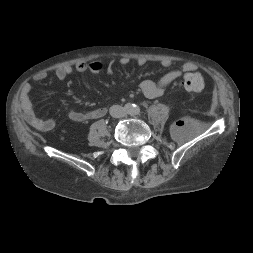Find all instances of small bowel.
<instances>
[{
    "label": "small bowel",
    "mask_w": 253,
    "mask_h": 253,
    "mask_svg": "<svg viewBox=\"0 0 253 253\" xmlns=\"http://www.w3.org/2000/svg\"><path fill=\"white\" fill-rule=\"evenodd\" d=\"M130 61L131 60L128 57H122L119 59V63L121 65H128ZM91 62L80 61L76 63L74 67L71 65L61 66L55 70V77L58 80L62 81L66 79L74 70L78 72H85L87 70H90L92 72H99L100 70L96 71V70L91 69L90 67ZM137 63L138 65L143 66L147 63V59L144 57L138 58ZM160 63L165 68H169L172 65V61L170 59H163L161 60ZM194 70H196V65L194 63L187 62L183 64L181 69L170 70L166 72L157 81H151V80L142 81L139 85L140 90L142 94L149 99L160 97L164 94L167 86H169L171 83L181 78L184 73L191 72ZM107 71L108 73L112 72L111 65L108 66ZM45 78H46V73L41 72L35 75L34 80L42 81ZM30 93H31V85L25 84L22 87V90L20 93V106L23 111L24 119L30 126H32L33 128L39 131H42V132L51 131L55 127V124H56L55 120L50 117L43 118L37 115L35 108L30 99ZM106 112H107L106 108L98 107L90 111L71 110L68 116L70 120L74 122L82 123V122H87L89 120L102 118L106 114Z\"/></svg>",
    "instance_id": "c3829d8e"
}]
</instances>
